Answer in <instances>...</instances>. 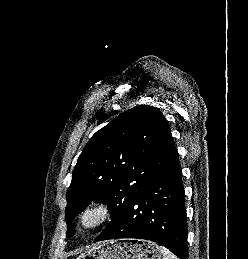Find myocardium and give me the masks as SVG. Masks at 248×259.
<instances>
[{
    "mask_svg": "<svg viewBox=\"0 0 248 259\" xmlns=\"http://www.w3.org/2000/svg\"><path fill=\"white\" fill-rule=\"evenodd\" d=\"M112 216L110 205L96 201L86 205L78 214L77 223L81 230L92 232L106 224Z\"/></svg>",
    "mask_w": 248,
    "mask_h": 259,
    "instance_id": "obj_1",
    "label": "myocardium"
}]
</instances>
